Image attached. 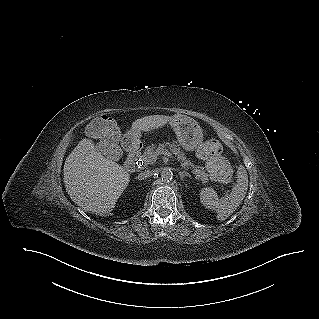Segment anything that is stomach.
Masks as SVG:
<instances>
[{
    "instance_id": "stomach-1",
    "label": "stomach",
    "mask_w": 319,
    "mask_h": 319,
    "mask_svg": "<svg viewBox=\"0 0 319 319\" xmlns=\"http://www.w3.org/2000/svg\"><path fill=\"white\" fill-rule=\"evenodd\" d=\"M175 131L178 142L187 151H193L203 141L202 129L199 124L190 117L177 115L170 122ZM139 132L130 131L132 137H137Z\"/></svg>"
}]
</instances>
